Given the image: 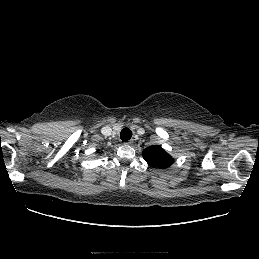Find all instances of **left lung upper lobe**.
Returning <instances> with one entry per match:
<instances>
[{
  "label": "left lung upper lobe",
  "mask_w": 259,
  "mask_h": 259,
  "mask_svg": "<svg viewBox=\"0 0 259 259\" xmlns=\"http://www.w3.org/2000/svg\"><path fill=\"white\" fill-rule=\"evenodd\" d=\"M143 158L153 167L167 168L172 165L174 159L161 147L150 146L143 151Z\"/></svg>",
  "instance_id": "5c2ea615"
}]
</instances>
